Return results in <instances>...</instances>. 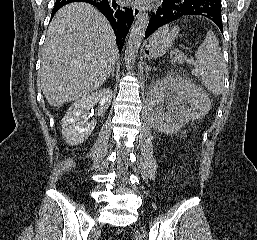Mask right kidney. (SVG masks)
<instances>
[{
	"instance_id": "ca27d5eb",
	"label": "right kidney",
	"mask_w": 257,
	"mask_h": 240,
	"mask_svg": "<svg viewBox=\"0 0 257 240\" xmlns=\"http://www.w3.org/2000/svg\"><path fill=\"white\" fill-rule=\"evenodd\" d=\"M113 92L110 88L91 93L74 102L62 119V135L66 143L78 145L88 139L95 128L96 120H88L87 112L99 103L98 113H104L110 106Z\"/></svg>"
}]
</instances>
